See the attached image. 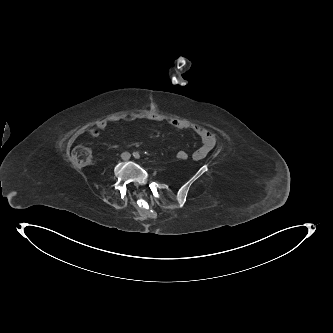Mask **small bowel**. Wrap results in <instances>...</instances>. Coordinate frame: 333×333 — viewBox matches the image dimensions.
<instances>
[{"label": "small bowel", "mask_w": 333, "mask_h": 333, "mask_svg": "<svg viewBox=\"0 0 333 333\" xmlns=\"http://www.w3.org/2000/svg\"><path fill=\"white\" fill-rule=\"evenodd\" d=\"M138 120H147V121H156V122L163 121V119L160 116H153V115H150V114L133 115V116H130L128 118V121H130V122H135V121H138ZM169 123L176 129L191 130L196 135L199 136V138L202 141V145L196 151L193 152L192 158L194 160H196V161L203 160L204 158L207 157V155L215 147L216 137L207 128H205L201 125L189 122V121L184 120V119H171L169 121ZM108 125H109V121H107V120L98 121L95 124V126L92 129H90L89 135L92 138H96L101 131L105 130L108 127ZM180 151H184V150H180ZM184 152H186V151H184Z\"/></svg>", "instance_id": "small-bowel-1"}]
</instances>
